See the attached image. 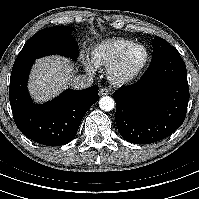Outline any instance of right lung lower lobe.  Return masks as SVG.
Wrapping results in <instances>:
<instances>
[{"mask_svg":"<svg viewBox=\"0 0 199 199\" xmlns=\"http://www.w3.org/2000/svg\"><path fill=\"white\" fill-rule=\"evenodd\" d=\"M33 61L12 68L9 100L18 129L31 140L47 145L69 143L77 134L88 109L99 99L98 86L84 90H66L56 99L35 104L27 91Z\"/></svg>","mask_w":199,"mask_h":199,"instance_id":"right-lung-lower-lobe-1","label":"right lung lower lobe"}]
</instances>
